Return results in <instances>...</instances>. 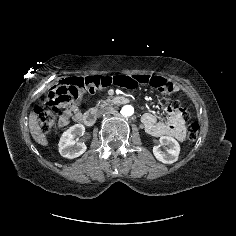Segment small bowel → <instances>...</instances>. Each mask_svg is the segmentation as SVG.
I'll list each match as a JSON object with an SVG mask.
<instances>
[{"instance_id":"1","label":"small bowel","mask_w":236,"mask_h":236,"mask_svg":"<svg viewBox=\"0 0 236 236\" xmlns=\"http://www.w3.org/2000/svg\"><path fill=\"white\" fill-rule=\"evenodd\" d=\"M73 78L65 79V81ZM83 87L79 96L85 92H93L94 90H109L111 88H129L137 84H149L155 88H161L164 93H171L180 90V85L165 77L150 75V74H136L131 75L125 72H115L104 75H89L82 79ZM63 113L59 118V125H67L71 120L79 121L82 113L75 102L70 104H61ZM166 120L159 121L157 116L153 113L147 112L142 117L146 130L149 134L156 137L171 136L178 141H183L186 138L187 126L181 115L172 106L165 108Z\"/></svg>"}]
</instances>
